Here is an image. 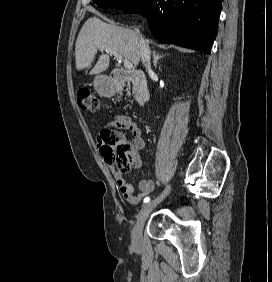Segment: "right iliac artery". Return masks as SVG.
Listing matches in <instances>:
<instances>
[{"label": "right iliac artery", "instance_id": "1", "mask_svg": "<svg viewBox=\"0 0 272 282\" xmlns=\"http://www.w3.org/2000/svg\"><path fill=\"white\" fill-rule=\"evenodd\" d=\"M150 201V198L149 197H146L145 199H144V203H147V202H149Z\"/></svg>", "mask_w": 272, "mask_h": 282}]
</instances>
